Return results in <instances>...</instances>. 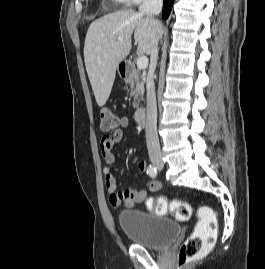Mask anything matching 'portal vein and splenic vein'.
I'll use <instances>...</instances> for the list:
<instances>
[{
	"label": "portal vein and splenic vein",
	"mask_w": 265,
	"mask_h": 269,
	"mask_svg": "<svg viewBox=\"0 0 265 269\" xmlns=\"http://www.w3.org/2000/svg\"><path fill=\"white\" fill-rule=\"evenodd\" d=\"M123 38L122 37H119L118 38V41H122ZM148 67V58L147 56H140L137 60V68L139 70H144Z\"/></svg>",
	"instance_id": "18ae733b"
}]
</instances>
